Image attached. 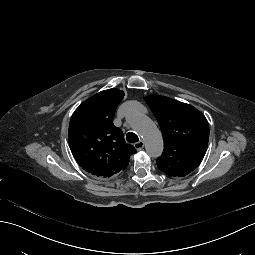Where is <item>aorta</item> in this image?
Wrapping results in <instances>:
<instances>
[{
	"label": "aorta",
	"instance_id": "obj_1",
	"mask_svg": "<svg viewBox=\"0 0 255 255\" xmlns=\"http://www.w3.org/2000/svg\"><path fill=\"white\" fill-rule=\"evenodd\" d=\"M129 122L132 128L143 137L149 156L159 157L163 152V139L155 123L141 113H134Z\"/></svg>",
	"mask_w": 255,
	"mask_h": 255
}]
</instances>
